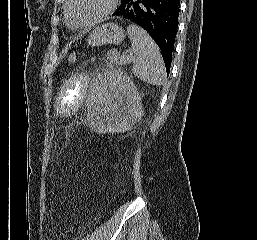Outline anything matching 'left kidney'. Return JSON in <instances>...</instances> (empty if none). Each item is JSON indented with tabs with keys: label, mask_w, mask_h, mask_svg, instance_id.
<instances>
[{
	"label": "left kidney",
	"mask_w": 257,
	"mask_h": 240,
	"mask_svg": "<svg viewBox=\"0 0 257 240\" xmlns=\"http://www.w3.org/2000/svg\"><path fill=\"white\" fill-rule=\"evenodd\" d=\"M141 96L130 78L120 71L98 75L88 98L89 125L98 133H120L142 116Z\"/></svg>",
	"instance_id": "left-kidney-1"
}]
</instances>
